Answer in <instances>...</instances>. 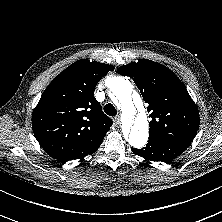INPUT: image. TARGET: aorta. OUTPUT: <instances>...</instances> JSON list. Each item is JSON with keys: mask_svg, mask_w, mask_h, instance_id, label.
<instances>
[{"mask_svg": "<svg viewBox=\"0 0 222 222\" xmlns=\"http://www.w3.org/2000/svg\"><path fill=\"white\" fill-rule=\"evenodd\" d=\"M111 95L122 111L123 134L130 145L142 148L148 140V120L145 109L139 99L134 105L132 100V85L121 77L114 78L110 87Z\"/></svg>", "mask_w": 222, "mask_h": 222, "instance_id": "obj_1", "label": "aorta"}]
</instances>
